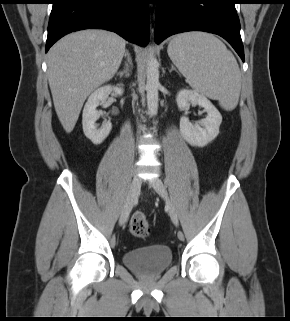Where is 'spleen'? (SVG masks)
Masks as SVG:
<instances>
[{
	"mask_svg": "<svg viewBox=\"0 0 290 321\" xmlns=\"http://www.w3.org/2000/svg\"><path fill=\"white\" fill-rule=\"evenodd\" d=\"M167 52L194 91L218 100L226 110L237 106L240 69L217 37L204 32L183 33L172 39Z\"/></svg>",
	"mask_w": 290,
	"mask_h": 321,
	"instance_id": "spleen-1",
	"label": "spleen"
}]
</instances>
